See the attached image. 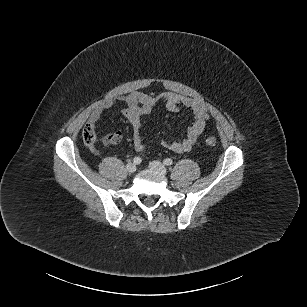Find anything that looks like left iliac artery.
Here are the masks:
<instances>
[{"instance_id":"left-iliac-artery-1","label":"left iliac artery","mask_w":307,"mask_h":307,"mask_svg":"<svg viewBox=\"0 0 307 307\" xmlns=\"http://www.w3.org/2000/svg\"><path fill=\"white\" fill-rule=\"evenodd\" d=\"M163 163H164L165 165L169 166V165H172L173 161H172V159H170V158H166V159H164Z\"/></svg>"}]
</instances>
